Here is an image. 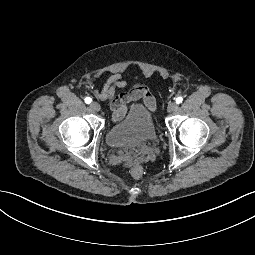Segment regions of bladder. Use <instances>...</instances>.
<instances>
[{
	"mask_svg": "<svg viewBox=\"0 0 255 255\" xmlns=\"http://www.w3.org/2000/svg\"><path fill=\"white\" fill-rule=\"evenodd\" d=\"M157 126L151 111L143 104H132L126 114L107 129L106 141L115 148H129L152 142Z\"/></svg>",
	"mask_w": 255,
	"mask_h": 255,
	"instance_id": "31cf9c89",
	"label": "bladder"
}]
</instances>
